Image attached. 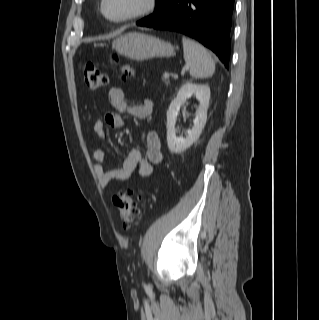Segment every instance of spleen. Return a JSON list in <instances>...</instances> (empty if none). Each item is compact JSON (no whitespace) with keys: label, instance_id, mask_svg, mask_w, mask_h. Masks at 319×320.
<instances>
[{"label":"spleen","instance_id":"3e777b00","mask_svg":"<svg viewBox=\"0 0 319 320\" xmlns=\"http://www.w3.org/2000/svg\"><path fill=\"white\" fill-rule=\"evenodd\" d=\"M185 62L190 67V75L194 78H206L213 75L215 64L207 50L196 41L182 38Z\"/></svg>","mask_w":319,"mask_h":320}]
</instances>
